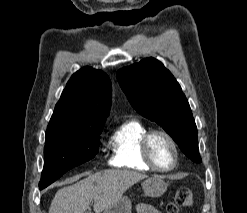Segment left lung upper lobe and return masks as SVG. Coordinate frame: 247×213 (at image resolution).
<instances>
[{
	"instance_id": "obj_1",
	"label": "left lung upper lobe",
	"mask_w": 247,
	"mask_h": 213,
	"mask_svg": "<svg viewBox=\"0 0 247 213\" xmlns=\"http://www.w3.org/2000/svg\"><path fill=\"white\" fill-rule=\"evenodd\" d=\"M116 76L133 108L161 125L187 157L201 162L189 103L170 71L150 57L120 69Z\"/></svg>"
}]
</instances>
